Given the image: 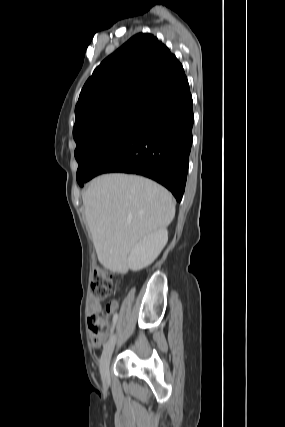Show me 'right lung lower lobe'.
I'll list each match as a JSON object with an SVG mask.
<instances>
[{"mask_svg":"<svg viewBox=\"0 0 285 427\" xmlns=\"http://www.w3.org/2000/svg\"><path fill=\"white\" fill-rule=\"evenodd\" d=\"M193 121L192 97L183 75L146 102L86 181L108 172L143 175L165 186L180 202L189 166Z\"/></svg>","mask_w":285,"mask_h":427,"instance_id":"obj_1","label":"right lung lower lobe"}]
</instances>
